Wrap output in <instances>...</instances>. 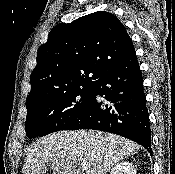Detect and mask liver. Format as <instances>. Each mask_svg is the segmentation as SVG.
I'll return each instance as SVG.
<instances>
[{"label":"liver","mask_w":175,"mask_h":174,"mask_svg":"<svg viewBox=\"0 0 175 174\" xmlns=\"http://www.w3.org/2000/svg\"><path fill=\"white\" fill-rule=\"evenodd\" d=\"M139 145L119 135L95 130L59 131L39 139L28 150L23 174H45L52 162L53 174H76L77 163L86 164L85 174H107Z\"/></svg>","instance_id":"liver-1"}]
</instances>
